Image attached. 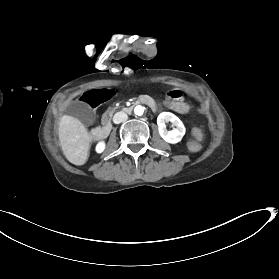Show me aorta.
<instances>
[{
    "label": "aorta",
    "instance_id": "obj_1",
    "mask_svg": "<svg viewBox=\"0 0 279 279\" xmlns=\"http://www.w3.org/2000/svg\"><path fill=\"white\" fill-rule=\"evenodd\" d=\"M134 113L136 114V115H138V116H141V115H143V113H144V107H142V106H136L135 107V109H134Z\"/></svg>",
    "mask_w": 279,
    "mask_h": 279
}]
</instances>
